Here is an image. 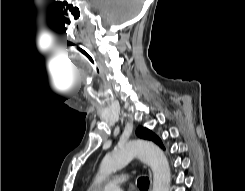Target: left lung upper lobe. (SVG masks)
I'll return each mask as SVG.
<instances>
[{"mask_svg":"<svg viewBox=\"0 0 245 191\" xmlns=\"http://www.w3.org/2000/svg\"><path fill=\"white\" fill-rule=\"evenodd\" d=\"M136 134L140 138L154 141L155 143H157L160 147L164 149L161 140L152 131L146 128H143V127H139L136 131Z\"/></svg>","mask_w":245,"mask_h":191,"instance_id":"left-lung-upper-lobe-1","label":"left lung upper lobe"}]
</instances>
